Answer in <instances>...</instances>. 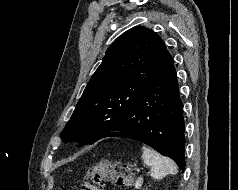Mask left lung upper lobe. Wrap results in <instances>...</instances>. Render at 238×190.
Returning <instances> with one entry per match:
<instances>
[{
    "label": "left lung upper lobe",
    "mask_w": 238,
    "mask_h": 190,
    "mask_svg": "<svg viewBox=\"0 0 238 190\" xmlns=\"http://www.w3.org/2000/svg\"><path fill=\"white\" fill-rule=\"evenodd\" d=\"M173 60L154 31L136 26L107 49L62 136L93 144L109 133L155 76Z\"/></svg>",
    "instance_id": "left-lung-upper-lobe-1"
}]
</instances>
